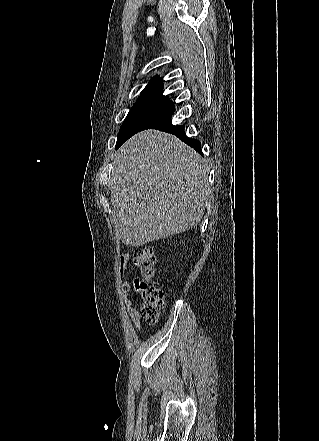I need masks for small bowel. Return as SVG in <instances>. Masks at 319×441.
Instances as JSON below:
<instances>
[{
    "label": "small bowel",
    "mask_w": 319,
    "mask_h": 441,
    "mask_svg": "<svg viewBox=\"0 0 319 441\" xmlns=\"http://www.w3.org/2000/svg\"><path fill=\"white\" fill-rule=\"evenodd\" d=\"M128 258H129L128 255L121 257V263H122L124 271H126L128 269V267H127ZM129 290H130V285L125 284V286H124V299H125V305L127 308V312H128L130 319L132 320L133 324L137 328H140V315H139L138 311L132 306V302L128 297Z\"/></svg>",
    "instance_id": "obj_1"
}]
</instances>
